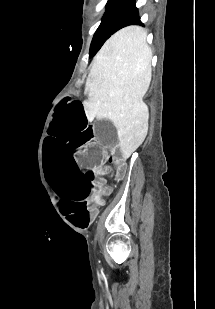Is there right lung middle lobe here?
I'll use <instances>...</instances> for the list:
<instances>
[{
    "label": "right lung middle lobe",
    "instance_id": "obj_1",
    "mask_svg": "<svg viewBox=\"0 0 215 309\" xmlns=\"http://www.w3.org/2000/svg\"><path fill=\"white\" fill-rule=\"evenodd\" d=\"M133 2L134 0H108L106 12L90 46V57L94 56L104 42L119 30L120 20Z\"/></svg>",
    "mask_w": 215,
    "mask_h": 309
}]
</instances>
